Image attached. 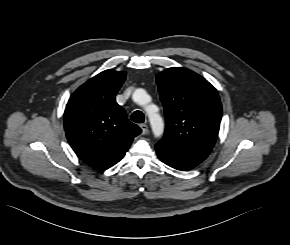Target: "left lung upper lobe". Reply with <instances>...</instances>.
<instances>
[{
    "instance_id": "obj_1",
    "label": "left lung upper lobe",
    "mask_w": 290,
    "mask_h": 245,
    "mask_svg": "<svg viewBox=\"0 0 290 245\" xmlns=\"http://www.w3.org/2000/svg\"><path fill=\"white\" fill-rule=\"evenodd\" d=\"M166 128L157 143L185 159L201 163L218 137L222 106L216 89L202 76L173 67L156 76Z\"/></svg>"
}]
</instances>
